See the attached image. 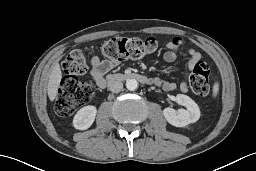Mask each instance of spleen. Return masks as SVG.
Masks as SVG:
<instances>
[{"label":"spleen","mask_w":256,"mask_h":171,"mask_svg":"<svg viewBox=\"0 0 256 171\" xmlns=\"http://www.w3.org/2000/svg\"><path fill=\"white\" fill-rule=\"evenodd\" d=\"M218 89H219L218 83H215V84H214V87H213V95H214V96L217 95Z\"/></svg>","instance_id":"3e777b00"}]
</instances>
